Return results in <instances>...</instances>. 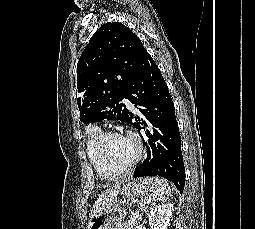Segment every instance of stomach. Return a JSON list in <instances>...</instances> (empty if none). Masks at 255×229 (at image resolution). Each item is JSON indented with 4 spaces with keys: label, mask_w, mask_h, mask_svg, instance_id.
<instances>
[{
    "label": "stomach",
    "mask_w": 255,
    "mask_h": 229,
    "mask_svg": "<svg viewBox=\"0 0 255 229\" xmlns=\"http://www.w3.org/2000/svg\"><path fill=\"white\" fill-rule=\"evenodd\" d=\"M155 179L146 178L125 182L120 191L125 198H137L155 188ZM126 217V210L118 203H111L101 212L90 218L87 229H115Z\"/></svg>",
    "instance_id": "0dacf381"
}]
</instances>
